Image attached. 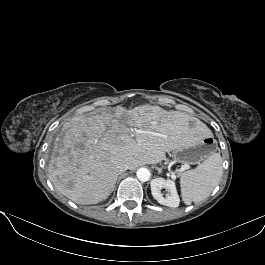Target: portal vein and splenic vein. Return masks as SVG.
<instances>
[{
    "mask_svg": "<svg viewBox=\"0 0 265 265\" xmlns=\"http://www.w3.org/2000/svg\"><path fill=\"white\" fill-rule=\"evenodd\" d=\"M190 168V166L189 165H183L181 168H180V171H184V170H186V169H189Z\"/></svg>",
    "mask_w": 265,
    "mask_h": 265,
    "instance_id": "1",
    "label": "portal vein and splenic vein"
}]
</instances>
